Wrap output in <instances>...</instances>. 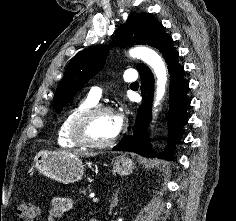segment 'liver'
Wrapping results in <instances>:
<instances>
[{
  "label": "liver",
  "instance_id": "obj_1",
  "mask_svg": "<svg viewBox=\"0 0 236 221\" xmlns=\"http://www.w3.org/2000/svg\"><path fill=\"white\" fill-rule=\"evenodd\" d=\"M64 153H72L78 156H82V157H93L96 156L95 153H89V152H83V151H78V150H74V151H70V152H64Z\"/></svg>",
  "mask_w": 236,
  "mask_h": 221
}]
</instances>
